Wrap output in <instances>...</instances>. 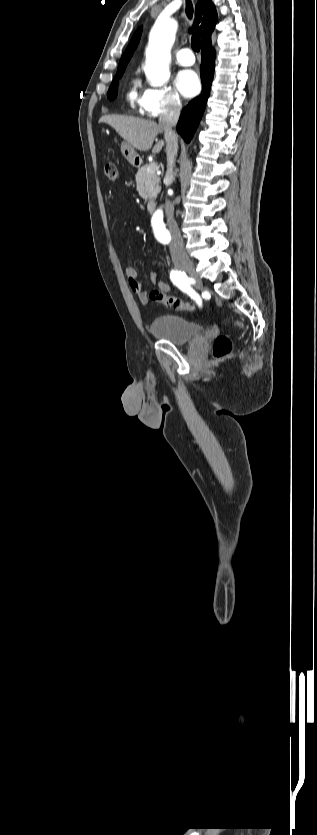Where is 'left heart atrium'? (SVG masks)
Wrapping results in <instances>:
<instances>
[{"label": "left heart atrium", "mask_w": 317, "mask_h": 835, "mask_svg": "<svg viewBox=\"0 0 317 835\" xmlns=\"http://www.w3.org/2000/svg\"><path fill=\"white\" fill-rule=\"evenodd\" d=\"M176 86L184 97H193L200 90V81L192 70H182L176 78Z\"/></svg>", "instance_id": "left-heart-atrium-1"}]
</instances>
